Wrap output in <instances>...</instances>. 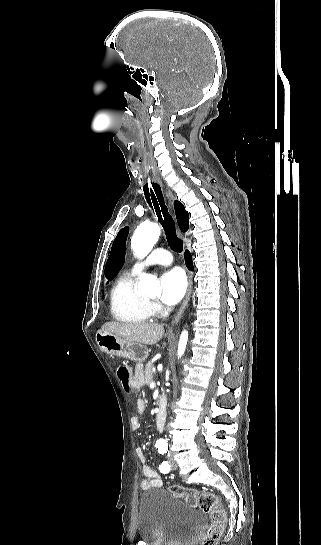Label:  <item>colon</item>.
Returning <instances> with one entry per match:
<instances>
[{"label":"colon","instance_id":"colon-1","mask_svg":"<svg viewBox=\"0 0 321 545\" xmlns=\"http://www.w3.org/2000/svg\"><path fill=\"white\" fill-rule=\"evenodd\" d=\"M117 375L126 391L133 390L134 384L127 366L120 365L117 368ZM170 492L192 506L198 505L209 515L211 523L200 545H217L223 535L227 520L226 511L220 504L218 497L213 493L198 495L193 489L179 485L171 486Z\"/></svg>","mask_w":321,"mask_h":545}]
</instances>
